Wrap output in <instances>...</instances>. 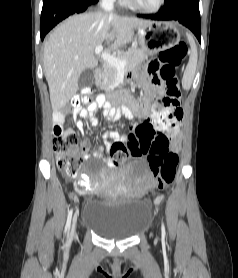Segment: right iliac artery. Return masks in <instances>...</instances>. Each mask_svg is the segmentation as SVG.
Returning <instances> with one entry per match:
<instances>
[{
  "label": "right iliac artery",
  "instance_id": "obj_1",
  "mask_svg": "<svg viewBox=\"0 0 238 278\" xmlns=\"http://www.w3.org/2000/svg\"><path fill=\"white\" fill-rule=\"evenodd\" d=\"M72 213H73V210L71 209L68 213V216H67V222H66V230L69 232L70 230V225H71V219H72Z\"/></svg>",
  "mask_w": 238,
  "mask_h": 278
}]
</instances>
